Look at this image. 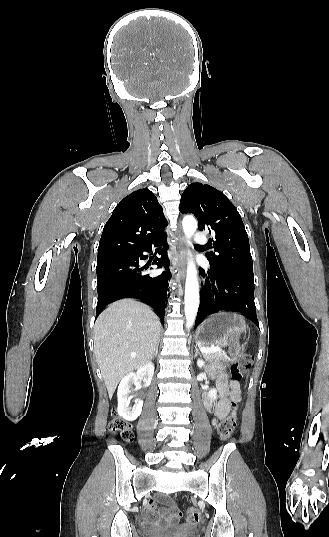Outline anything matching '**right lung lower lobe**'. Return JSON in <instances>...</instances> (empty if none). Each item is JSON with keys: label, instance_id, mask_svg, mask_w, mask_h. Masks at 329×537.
I'll return each mask as SVG.
<instances>
[{"label": "right lung lower lobe", "instance_id": "right-lung-lower-lobe-1", "mask_svg": "<svg viewBox=\"0 0 329 537\" xmlns=\"http://www.w3.org/2000/svg\"><path fill=\"white\" fill-rule=\"evenodd\" d=\"M158 243L164 247L160 251L161 257L156 258L153 264L158 268L167 267L170 261L166 254V237L156 242L155 246ZM151 251L152 247H149L128 256L97 260L96 318L111 302L122 298H137L151 305L163 321L165 301L169 291L168 280L171 274L167 271L156 277H150L145 273L147 268L139 267V261L148 257L143 252Z\"/></svg>", "mask_w": 329, "mask_h": 537}]
</instances>
